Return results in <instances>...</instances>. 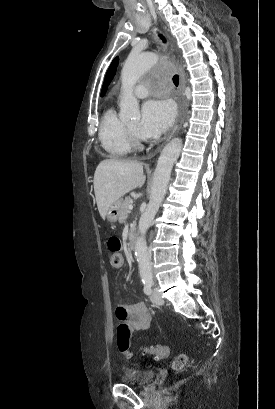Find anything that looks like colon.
<instances>
[{"label": "colon", "mask_w": 275, "mask_h": 409, "mask_svg": "<svg viewBox=\"0 0 275 409\" xmlns=\"http://www.w3.org/2000/svg\"><path fill=\"white\" fill-rule=\"evenodd\" d=\"M107 247L111 252L112 268L114 270H121L123 268V255L121 253V240L118 236L114 235L108 238ZM151 348L148 353L151 358H165L168 356L169 344L167 342H156L149 346ZM187 363V356L181 354L177 356L172 367L175 370L183 368Z\"/></svg>", "instance_id": "5ec220e1"}]
</instances>
